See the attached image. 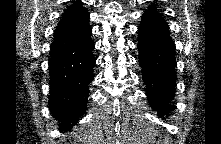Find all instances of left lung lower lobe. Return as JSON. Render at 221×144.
<instances>
[{
    "label": "left lung lower lobe",
    "instance_id": "left-lung-lower-lobe-1",
    "mask_svg": "<svg viewBox=\"0 0 221 144\" xmlns=\"http://www.w3.org/2000/svg\"><path fill=\"white\" fill-rule=\"evenodd\" d=\"M139 64L150 106L161 117L168 114L175 93V45L166 21L144 13L138 29Z\"/></svg>",
    "mask_w": 221,
    "mask_h": 144
}]
</instances>
